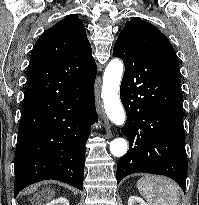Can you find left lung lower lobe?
<instances>
[{
    "instance_id": "0a47b994",
    "label": "left lung lower lobe",
    "mask_w": 199,
    "mask_h": 205,
    "mask_svg": "<svg viewBox=\"0 0 199 205\" xmlns=\"http://www.w3.org/2000/svg\"><path fill=\"white\" fill-rule=\"evenodd\" d=\"M113 56L120 57L125 65L120 98L127 122L122 134L130 144L117 163V183L127 175L144 172L168 176L185 192L187 157L181 85L154 57L126 39H117Z\"/></svg>"
}]
</instances>
